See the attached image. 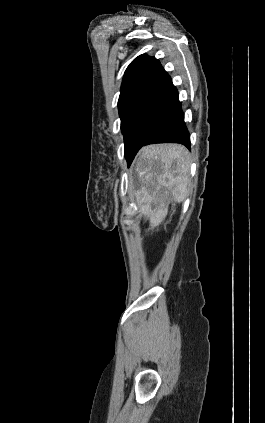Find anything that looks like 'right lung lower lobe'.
I'll list each match as a JSON object with an SVG mask.
<instances>
[{
    "mask_svg": "<svg viewBox=\"0 0 265 423\" xmlns=\"http://www.w3.org/2000/svg\"><path fill=\"white\" fill-rule=\"evenodd\" d=\"M128 166L138 150L154 143H179L190 149V135L176 87L169 75L151 91L124 134Z\"/></svg>",
    "mask_w": 265,
    "mask_h": 423,
    "instance_id": "right-lung-lower-lobe-1",
    "label": "right lung lower lobe"
}]
</instances>
